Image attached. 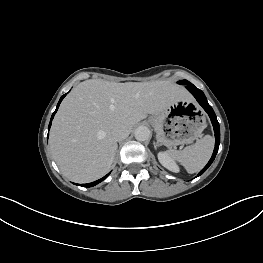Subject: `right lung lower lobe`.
<instances>
[{
	"label": "right lung lower lobe",
	"instance_id": "right-lung-lower-lobe-1",
	"mask_svg": "<svg viewBox=\"0 0 263 263\" xmlns=\"http://www.w3.org/2000/svg\"><path fill=\"white\" fill-rule=\"evenodd\" d=\"M65 96H66V94L63 95V96L60 98V100H59V102H58V105H57V108H56V110L54 111V113L52 114L51 121H50V124H49V128H48V129H50V126H51V123H52V119H53L55 113L57 112V109H58L61 101L63 100V98H64ZM109 174H110V173H108L106 176H104L103 178H101V179H99V180H97V181H95V182L88 183V184H82V186H83V187H92V186H95V185H97L98 183L102 182Z\"/></svg>",
	"mask_w": 263,
	"mask_h": 263
}]
</instances>
